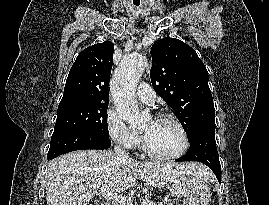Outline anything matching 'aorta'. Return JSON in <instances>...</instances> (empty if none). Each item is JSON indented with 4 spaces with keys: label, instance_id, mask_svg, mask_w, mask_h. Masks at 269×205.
Returning a JSON list of instances; mask_svg holds the SVG:
<instances>
[{
    "label": "aorta",
    "instance_id": "1",
    "mask_svg": "<svg viewBox=\"0 0 269 205\" xmlns=\"http://www.w3.org/2000/svg\"><path fill=\"white\" fill-rule=\"evenodd\" d=\"M147 65V58L141 54L125 56L120 62L111 83V90L118 116L132 126L144 118L136 104L135 87Z\"/></svg>",
    "mask_w": 269,
    "mask_h": 205
}]
</instances>
